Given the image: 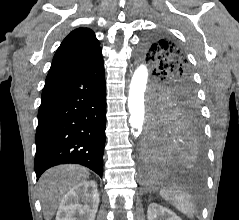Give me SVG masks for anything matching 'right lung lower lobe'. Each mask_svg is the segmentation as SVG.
<instances>
[{
	"label": "right lung lower lobe",
	"instance_id": "98d812e1",
	"mask_svg": "<svg viewBox=\"0 0 239 220\" xmlns=\"http://www.w3.org/2000/svg\"><path fill=\"white\" fill-rule=\"evenodd\" d=\"M106 127L103 60L70 77L45 83L38 112L37 178L65 163L84 165L102 177Z\"/></svg>",
	"mask_w": 239,
	"mask_h": 220
}]
</instances>
